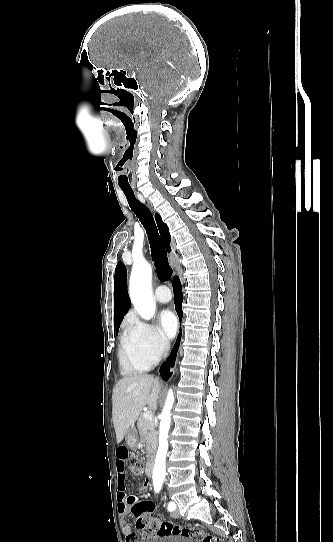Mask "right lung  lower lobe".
I'll return each instance as SVG.
<instances>
[{"label":"right lung lower lobe","mask_w":333,"mask_h":542,"mask_svg":"<svg viewBox=\"0 0 333 542\" xmlns=\"http://www.w3.org/2000/svg\"><path fill=\"white\" fill-rule=\"evenodd\" d=\"M173 287H174L175 309L177 311L179 319L181 320V318H182L183 294H182V291H181V283H180L178 277H174V279H173ZM180 337H181V334H179V337L177 338V341H176V343H175V345H174V347H173V349L171 351V354L167 358L166 362H164L162 364V366L160 367V374L164 378L165 381H167L171 376V372H169V370H170L171 366H174L176 354H177V351H178V348H179Z\"/></svg>","instance_id":"right-lung-lower-lobe-1"}]
</instances>
